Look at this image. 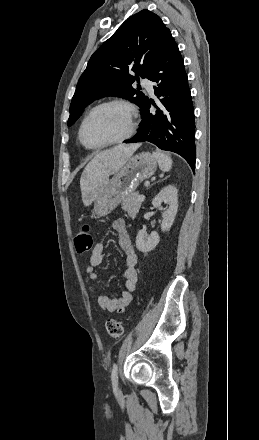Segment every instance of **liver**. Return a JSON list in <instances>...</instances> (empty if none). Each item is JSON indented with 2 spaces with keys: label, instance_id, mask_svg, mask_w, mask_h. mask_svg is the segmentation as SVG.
I'll return each instance as SVG.
<instances>
[{
  "label": "liver",
  "instance_id": "6515ba94",
  "mask_svg": "<svg viewBox=\"0 0 259 440\" xmlns=\"http://www.w3.org/2000/svg\"><path fill=\"white\" fill-rule=\"evenodd\" d=\"M139 147L140 144H121L96 154L85 167L80 179L82 200L85 206H89L98 198L107 186L109 176L122 169Z\"/></svg>",
  "mask_w": 259,
  "mask_h": 440
}]
</instances>
